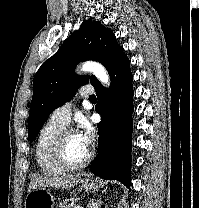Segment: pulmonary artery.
<instances>
[{
  "instance_id": "pulmonary-artery-1",
  "label": "pulmonary artery",
  "mask_w": 199,
  "mask_h": 208,
  "mask_svg": "<svg viewBox=\"0 0 199 208\" xmlns=\"http://www.w3.org/2000/svg\"><path fill=\"white\" fill-rule=\"evenodd\" d=\"M93 92V88L86 87L79 91L78 96L81 98H90L94 95ZM72 106V103H67L63 106L56 108L51 115V119L66 126L70 122Z\"/></svg>"
}]
</instances>
